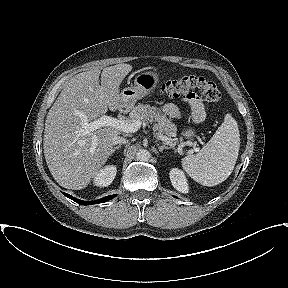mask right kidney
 Returning <instances> with one entry per match:
<instances>
[{"label":"right kidney","mask_w":288,"mask_h":288,"mask_svg":"<svg viewBox=\"0 0 288 288\" xmlns=\"http://www.w3.org/2000/svg\"><path fill=\"white\" fill-rule=\"evenodd\" d=\"M117 173L114 165L105 166L94 177V184L99 187H106L112 183Z\"/></svg>","instance_id":"1"}]
</instances>
